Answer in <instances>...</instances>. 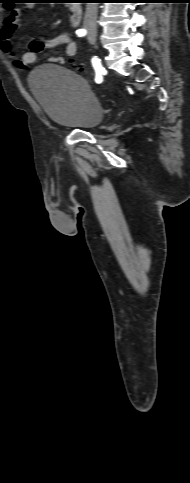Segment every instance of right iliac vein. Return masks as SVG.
Returning a JSON list of instances; mask_svg holds the SVG:
<instances>
[{
    "label": "right iliac vein",
    "instance_id": "obj_1",
    "mask_svg": "<svg viewBox=\"0 0 190 483\" xmlns=\"http://www.w3.org/2000/svg\"><path fill=\"white\" fill-rule=\"evenodd\" d=\"M89 35H90L91 37H95V33H94V32H92V31H90Z\"/></svg>",
    "mask_w": 190,
    "mask_h": 483
}]
</instances>
